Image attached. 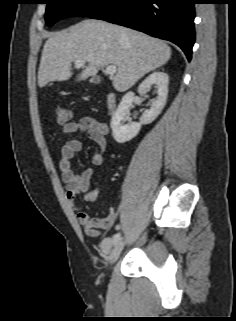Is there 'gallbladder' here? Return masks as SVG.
Returning a JSON list of instances; mask_svg holds the SVG:
<instances>
[{
	"mask_svg": "<svg viewBox=\"0 0 236 321\" xmlns=\"http://www.w3.org/2000/svg\"><path fill=\"white\" fill-rule=\"evenodd\" d=\"M98 79L97 78H94V81L96 82Z\"/></svg>",
	"mask_w": 236,
	"mask_h": 321,
	"instance_id": "gallbladder-1",
	"label": "gallbladder"
}]
</instances>
